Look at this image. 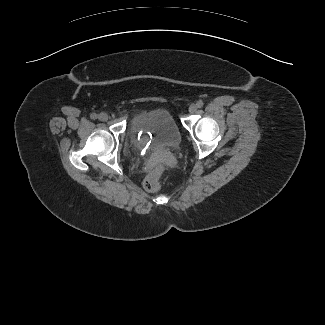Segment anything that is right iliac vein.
<instances>
[{
  "label": "right iliac vein",
  "mask_w": 325,
  "mask_h": 325,
  "mask_svg": "<svg viewBox=\"0 0 325 325\" xmlns=\"http://www.w3.org/2000/svg\"><path fill=\"white\" fill-rule=\"evenodd\" d=\"M99 120L101 121H107L108 120V115L106 113H100L98 115Z\"/></svg>",
  "instance_id": "1"
}]
</instances>
